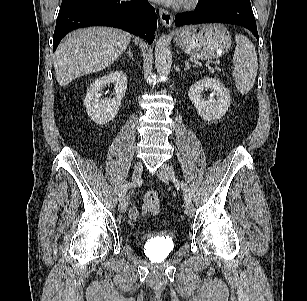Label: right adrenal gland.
<instances>
[{
    "label": "right adrenal gland",
    "mask_w": 307,
    "mask_h": 301,
    "mask_svg": "<svg viewBox=\"0 0 307 301\" xmlns=\"http://www.w3.org/2000/svg\"><path fill=\"white\" fill-rule=\"evenodd\" d=\"M126 54L130 57V59L134 60L133 53L131 51V47L128 48Z\"/></svg>",
    "instance_id": "right-adrenal-gland-1"
}]
</instances>
